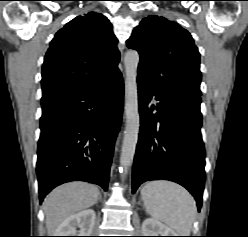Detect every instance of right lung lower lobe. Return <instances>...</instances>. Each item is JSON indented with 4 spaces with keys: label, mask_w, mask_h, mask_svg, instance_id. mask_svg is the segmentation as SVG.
Segmentation results:
<instances>
[{
    "label": "right lung lower lobe",
    "mask_w": 248,
    "mask_h": 237,
    "mask_svg": "<svg viewBox=\"0 0 248 237\" xmlns=\"http://www.w3.org/2000/svg\"><path fill=\"white\" fill-rule=\"evenodd\" d=\"M122 75L41 99L37 177L40 202L56 186L87 181L107 190L123 110Z\"/></svg>",
    "instance_id": "right-lung-lower-lobe-1"
}]
</instances>
